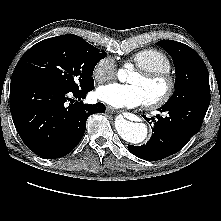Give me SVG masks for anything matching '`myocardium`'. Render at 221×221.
<instances>
[{"mask_svg": "<svg viewBox=\"0 0 221 221\" xmlns=\"http://www.w3.org/2000/svg\"><path fill=\"white\" fill-rule=\"evenodd\" d=\"M148 80H161L166 84L165 91L157 98L146 101L149 108H159L165 105L174 95L176 89V79L170 71L138 69L136 72Z\"/></svg>", "mask_w": 221, "mask_h": 221, "instance_id": "1", "label": "myocardium"}]
</instances>
